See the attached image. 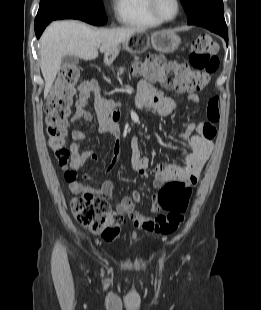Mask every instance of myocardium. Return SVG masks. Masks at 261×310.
Returning a JSON list of instances; mask_svg holds the SVG:
<instances>
[{
    "label": "myocardium",
    "mask_w": 261,
    "mask_h": 310,
    "mask_svg": "<svg viewBox=\"0 0 261 310\" xmlns=\"http://www.w3.org/2000/svg\"><path fill=\"white\" fill-rule=\"evenodd\" d=\"M148 1H149V9H150L151 14L161 23H168V22L174 21L178 17V15L181 11L180 0H174V2L176 4V12L172 17L165 18L162 15H160V13L157 10V0H148Z\"/></svg>",
    "instance_id": "f54148a6"
}]
</instances>
